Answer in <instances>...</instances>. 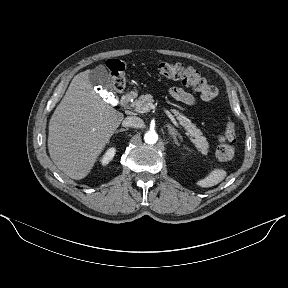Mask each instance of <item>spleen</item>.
<instances>
[{"label":"spleen","mask_w":288,"mask_h":288,"mask_svg":"<svg viewBox=\"0 0 288 288\" xmlns=\"http://www.w3.org/2000/svg\"><path fill=\"white\" fill-rule=\"evenodd\" d=\"M227 172L223 169L213 170L206 178L198 181V185L201 187H212L217 185L225 179Z\"/></svg>","instance_id":"1"}]
</instances>
